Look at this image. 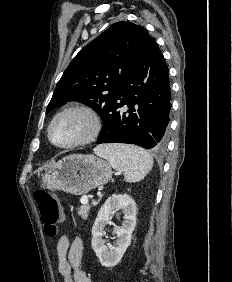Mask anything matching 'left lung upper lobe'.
Segmentation results:
<instances>
[{
    "mask_svg": "<svg viewBox=\"0 0 232 282\" xmlns=\"http://www.w3.org/2000/svg\"><path fill=\"white\" fill-rule=\"evenodd\" d=\"M150 39L142 26L124 21L113 24L70 62L57 83L47 112L68 101H78L104 119Z\"/></svg>",
    "mask_w": 232,
    "mask_h": 282,
    "instance_id": "1",
    "label": "left lung upper lobe"
}]
</instances>
